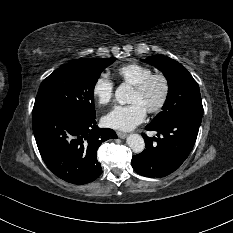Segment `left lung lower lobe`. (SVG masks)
Listing matches in <instances>:
<instances>
[{
  "instance_id": "obj_1",
  "label": "left lung lower lobe",
  "mask_w": 233,
  "mask_h": 233,
  "mask_svg": "<svg viewBox=\"0 0 233 233\" xmlns=\"http://www.w3.org/2000/svg\"><path fill=\"white\" fill-rule=\"evenodd\" d=\"M203 106L192 107L160 126L147 125L157 137L142 134L146 149L132 157V167L145 177H165L186 160L195 144Z\"/></svg>"
}]
</instances>
